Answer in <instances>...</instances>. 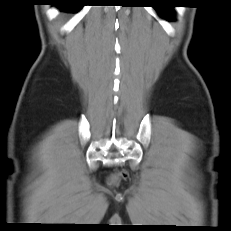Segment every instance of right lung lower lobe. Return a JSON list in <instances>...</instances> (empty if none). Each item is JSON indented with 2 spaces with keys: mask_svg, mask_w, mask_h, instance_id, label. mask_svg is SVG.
Wrapping results in <instances>:
<instances>
[{
  "mask_svg": "<svg viewBox=\"0 0 231 231\" xmlns=\"http://www.w3.org/2000/svg\"><path fill=\"white\" fill-rule=\"evenodd\" d=\"M54 5L65 11H77L83 6V0H54Z\"/></svg>",
  "mask_w": 231,
  "mask_h": 231,
  "instance_id": "98d812e1",
  "label": "right lung lower lobe"
}]
</instances>
